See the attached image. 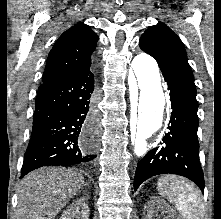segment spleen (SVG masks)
<instances>
[{"instance_id":"obj_1","label":"spleen","mask_w":221,"mask_h":219,"mask_svg":"<svg viewBox=\"0 0 221 219\" xmlns=\"http://www.w3.org/2000/svg\"><path fill=\"white\" fill-rule=\"evenodd\" d=\"M157 189L162 197L175 204L185 219L204 217V204L192 183L176 176H165L158 180Z\"/></svg>"}]
</instances>
